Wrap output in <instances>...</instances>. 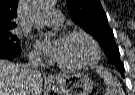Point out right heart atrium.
<instances>
[{
	"mask_svg": "<svg viewBox=\"0 0 135 95\" xmlns=\"http://www.w3.org/2000/svg\"><path fill=\"white\" fill-rule=\"evenodd\" d=\"M29 56H30L31 58H37V57H38V54H37L35 51H31V52L29 53Z\"/></svg>",
	"mask_w": 135,
	"mask_h": 95,
	"instance_id": "1",
	"label": "right heart atrium"
}]
</instances>
